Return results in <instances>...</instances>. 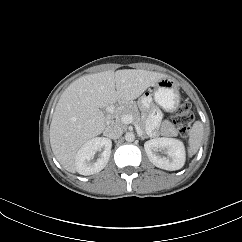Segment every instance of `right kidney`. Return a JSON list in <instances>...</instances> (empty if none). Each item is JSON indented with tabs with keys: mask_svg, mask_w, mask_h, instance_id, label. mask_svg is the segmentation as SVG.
I'll list each match as a JSON object with an SVG mask.
<instances>
[{
	"mask_svg": "<svg viewBox=\"0 0 242 242\" xmlns=\"http://www.w3.org/2000/svg\"><path fill=\"white\" fill-rule=\"evenodd\" d=\"M111 147V140L105 137H96L84 143L75 157L78 173L92 175L104 169L110 158ZM97 151H102L101 156L92 162Z\"/></svg>",
	"mask_w": 242,
	"mask_h": 242,
	"instance_id": "obj_1",
	"label": "right kidney"
}]
</instances>
